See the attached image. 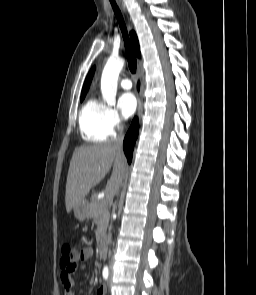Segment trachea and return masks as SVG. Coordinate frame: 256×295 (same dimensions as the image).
<instances>
[{
  "mask_svg": "<svg viewBox=\"0 0 256 295\" xmlns=\"http://www.w3.org/2000/svg\"><path fill=\"white\" fill-rule=\"evenodd\" d=\"M112 8L114 10V13L116 15V18L118 20L121 32H122V36L124 39V44H125V50H126V55H127V60H128V66L129 69L132 73L136 72V68H137V60L135 57V54L133 52L129 37H128V33H127V28L125 25V22L123 20L122 14L117 6V4L115 3L114 0H110Z\"/></svg>",
  "mask_w": 256,
  "mask_h": 295,
  "instance_id": "obj_1",
  "label": "trachea"
}]
</instances>
